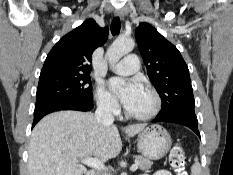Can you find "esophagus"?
Here are the masks:
<instances>
[{
  "instance_id": "esophagus-1",
  "label": "esophagus",
  "mask_w": 233,
  "mask_h": 175,
  "mask_svg": "<svg viewBox=\"0 0 233 175\" xmlns=\"http://www.w3.org/2000/svg\"><path fill=\"white\" fill-rule=\"evenodd\" d=\"M115 16H117V17H119V18H121V19H124V13H123V11L120 10V9H117V10L115 11Z\"/></svg>"
}]
</instances>
